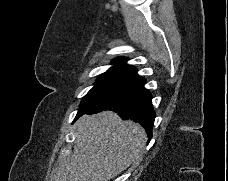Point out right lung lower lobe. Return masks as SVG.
<instances>
[{"label":"right lung lower lobe","instance_id":"obj_1","mask_svg":"<svg viewBox=\"0 0 228 181\" xmlns=\"http://www.w3.org/2000/svg\"><path fill=\"white\" fill-rule=\"evenodd\" d=\"M145 79L138 77L109 102L96 108L82 111L76 119L84 114H95L104 110H111L119 114L123 119H131L139 122L146 130L148 139L152 138V127L155 112L152 107L150 92L144 88Z\"/></svg>","mask_w":228,"mask_h":181}]
</instances>
